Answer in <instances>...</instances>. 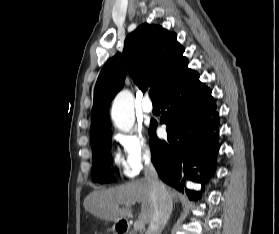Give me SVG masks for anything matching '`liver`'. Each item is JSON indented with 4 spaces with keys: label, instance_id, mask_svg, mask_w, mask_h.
<instances>
[{
    "label": "liver",
    "instance_id": "6515ba94",
    "mask_svg": "<svg viewBox=\"0 0 279 234\" xmlns=\"http://www.w3.org/2000/svg\"><path fill=\"white\" fill-rule=\"evenodd\" d=\"M171 199H177L180 194L168 188ZM141 202V213L139 220L144 223L150 222L153 214V200L151 184L146 179H139L124 185L107 190L93 191L84 199V208L93 216L115 223L126 219L132 210L120 207L122 204H134Z\"/></svg>",
    "mask_w": 279,
    "mask_h": 234
}]
</instances>
